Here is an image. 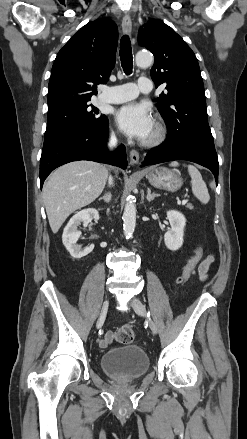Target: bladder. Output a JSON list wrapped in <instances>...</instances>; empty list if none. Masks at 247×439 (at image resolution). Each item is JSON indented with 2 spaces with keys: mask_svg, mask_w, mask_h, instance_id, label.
<instances>
[{
  "mask_svg": "<svg viewBox=\"0 0 247 439\" xmlns=\"http://www.w3.org/2000/svg\"><path fill=\"white\" fill-rule=\"evenodd\" d=\"M102 370L120 381L136 380L149 370L147 353L138 345H126L107 350L100 359Z\"/></svg>",
  "mask_w": 247,
  "mask_h": 439,
  "instance_id": "bladder-1",
  "label": "bladder"
}]
</instances>
